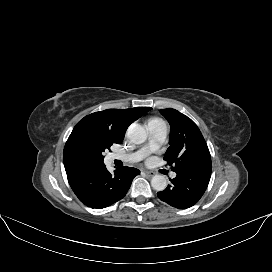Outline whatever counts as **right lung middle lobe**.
<instances>
[{"label":"right lung middle lobe","instance_id":"obj_1","mask_svg":"<svg viewBox=\"0 0 272 272\" xmlns=\"http://www.w3.org/2000/svg\"><path fill=\"white\" fill-rule=\"evenodd\" d=\"M68 140L72 155L90 166L102 165L105 150L114 143L120 144L109 135L89 128H80Z\"/></svg>","mask_w":272,"mask_h":272}]
</instances>
